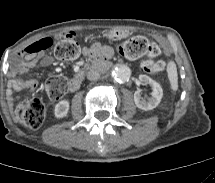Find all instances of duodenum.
Segmentation results:
<instances>
[{"label":"duodenum","instance_id":"obj_1","mask_svg":"<svg viewBox=\"0 0 215 183\" xmlns=\"http://www.w3.org/2000/svg\"><path fill=\"white\" fill-rule=\"evenodd\" d=\"M109 66V61L107 59H98L94 62V67L97 69H106ZM85 73L80 71L76 73V75L69 80L67 84V88L69 91H76L80 88L83 80H84Z\"/></svg>","mask_w":215,"mask_h":183}]
</instances>
